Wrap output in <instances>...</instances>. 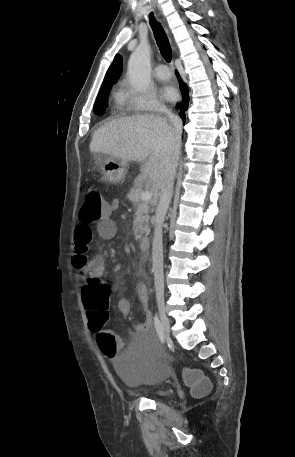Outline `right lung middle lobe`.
Listing matches in <instances>:
<instances>
[{
  "label": "right lung middle lobe",
  "instance_id": "dd1d6c3e",
  "mask_svg": "<svg viewBox=\"0 0 295 457\" xmlns=\"http://www.w3.org/2000/svg\"><path fill=\"white\" fill-rule=\"evenodd\" d=\"M110 89H111V87L101 88L99 95L96 99L95 105H94L95 114L101 115L104 113L105 109L108 106V93H109Z\"/></svg>",
  "mask_w": 295,
  "mask_h": 457
}]
</instances>
